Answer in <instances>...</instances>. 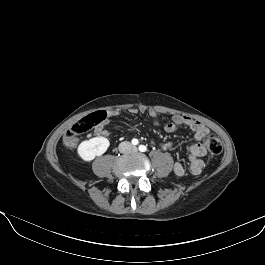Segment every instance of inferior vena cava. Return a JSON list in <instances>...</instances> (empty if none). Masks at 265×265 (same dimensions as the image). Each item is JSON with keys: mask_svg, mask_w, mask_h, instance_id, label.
Here are the masks:
<instances>
[{"mask_svg": "<svg viewBox=\"0 0 265 265\" xmlns=\"http://www.w3.org/2000/svg\"><path fill=\"white\" fill-rule=\"evenodd\" d=\"M118 148H119V151L121 153H126V152H130L132 150L133 146H132V144L130 142L124 141V142H121L119 144Z\"/></svg>", "mask_w": 265, "mask_h": 265, "instance_id": "602c4592", "label": "inferior vena cava"}]
</instances>
